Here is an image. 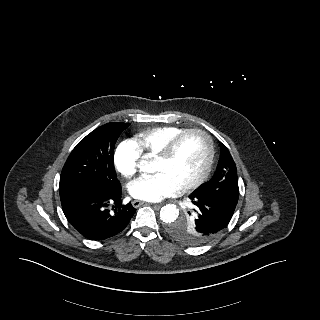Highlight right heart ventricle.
<instances>
[{"instance_id":"right-heart-ventricle-1","label":"right heart ventricle","mask_w":320,"mask_h":320,"mask_svg":"<svg viewBox=\"0 0 320 320\" xmlns=\"http://www.w3.org/2000/svg\"><path fill=\"white\" fill-rule=\"evenodd\" d=\"M185 130V128L178 126L154 127L137 134L133 142L138 147L140 153L156 157L174 137Z\"/></svg>"}]
</instances>
